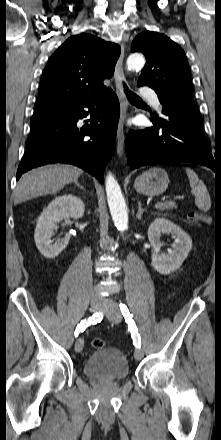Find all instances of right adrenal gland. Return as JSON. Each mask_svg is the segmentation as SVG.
Returning a JSON list of instances; mask_svg holds the SVG:
<instances>
[{"mask_svg":"<svg viewBox=\"0 0 221 440\" xmlns=\"http://www.w3.org/2000/svg\"><path fill=\"white\" fill-rule=\"evenodd\" d=\"M75 184H76V186H78L80 189L85 190V188H84L82 185H80V184L78 183V181H75Z\"/></svg>","mask_w":221,"mask_h":440,"instance_id":"obj_1","label":"right adrenal gland"}]
</instances>
